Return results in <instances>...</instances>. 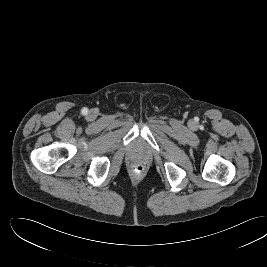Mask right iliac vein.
<instances>
[{"mask_svg":"<svg viewBox=\"0 0 267 267\" xmlns=\"http://www.w3.org/2000/svg\"><path fill=\"white\" fill-rule=\"evenodd\" d=\"M96 117V113L95 111L91 110L89 113H88V119L92 120V119H95Z\"/></svg>","mask_w":267,"mask_h":267,"instance_id":"1","label":"right iliac vein"}]
</instances>
